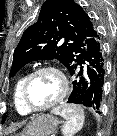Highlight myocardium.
Segmentation results:
<instances>
[{"instance_id":"myocardium-1","label":"myocardium","mask_w":117,"mask_h":136,"mask_svg":"<svg viewBox=\"0 0 117 136\" xmlns=\"http://www.w3.org/2000/svg\"><path fill=\"white\" fill-rule=\"evenodd\" d=\"M44 72H50V73H54L55 75H57L61 81L62 89H61V92L58 95V97L56 99H54L52 102H50L49 104H47L43 107H35L31 104V102L29 100V95H28L29 94V87H30V84H31L32 80L34 79V77H36L38 74L44 73ZM68 91H69V82H68L65 74L56 67L44 66V67H40V68L34 70L33 72H31L27 76V78L24 82V85H23V89H22V101H23L25 107L30 112H44V111H47V110L53 108L57 104H59L66 97Z\"/></svg>"}]
</instances>
